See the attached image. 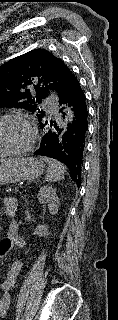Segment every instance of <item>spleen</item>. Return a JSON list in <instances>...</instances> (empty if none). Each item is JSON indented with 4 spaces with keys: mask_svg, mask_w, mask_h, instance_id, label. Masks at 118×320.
<instances>
[{
    "mask_svg": "<svg viewBox=\"0 0 118 320\" xmlns=\"http://www.w3.org/2000/svg\"><path fill=\"white\" fill-rule=\"evenodd\" d=\"M41 159L48 164L46 175L47 182H56L64 179V173L66 172L65 165L49 157H42Z\"/></svg>",
    "mask_w": 118,
    "mask_h": 320,
    "instance_id": "obj_1",
    "label": "spleen"
}]
</instances>
